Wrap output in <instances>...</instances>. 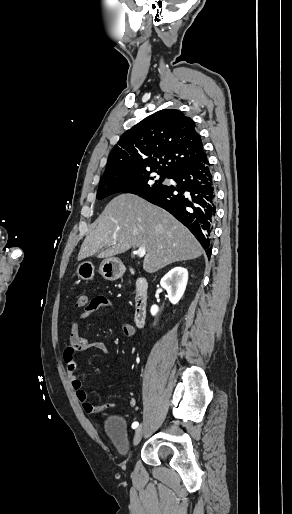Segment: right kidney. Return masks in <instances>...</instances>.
<instances>
[{
	"mask_svg": "<svg viewBox=\"0 0 292 514\" xmlns=\"http://www.w3.org/2000/svg\"><path fill=\"white\" fill-rule=\"evenodd\" d=\"M188 282V272L186 268H173L170 270L164 278H162L160 284L168 294V298L171 304H178L180 298H182L185 288ZM152 316H155L159 312L158 306H151L150 310Z\"/></svg>",
	"mask_w": 292,
	"mask_h": 514,
	"instance_id": "right-kidney-1",
	"label": "right kidney"
}]
</instances>
